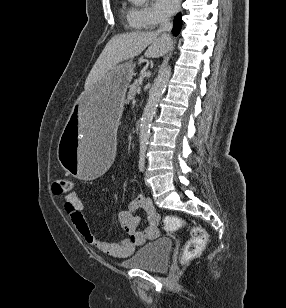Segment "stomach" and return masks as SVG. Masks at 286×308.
<instances>
[{
    "label": "stomach",
    "instance_id": "0dacf381",
    "mask_svg": "<svg viewBox=\"0 0 286 308\" xmlns=\"http://www.w3.org/2000/svg\"><path fill=\"white\" fill-rule=\"evenodd\" d=\"M134 67L132 61L117 65L80 96L73 118H64V137L56 142L58 160L79 182H98L116 158L110 132L119 125Z\"/></svg>",
    "mask_w": 286,
    "mask_h": 308
}]
</instances>
